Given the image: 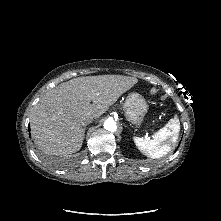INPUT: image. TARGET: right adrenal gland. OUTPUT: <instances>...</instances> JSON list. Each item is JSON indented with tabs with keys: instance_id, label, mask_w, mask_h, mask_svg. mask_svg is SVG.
<instances>
[{
	"instance_id": "2a0ac1e0",
	"label": "right adrenal gland",
	"mask_w": 221,
	"mask_h": 221,
	"mask_svg": "<svg viewBox=\"0 0 221 221\" xmlns=\"http://www.w3.org/2000/svg\"><path fill=\"white\" fill-rule=\"evenodd\" d=\"M85 130H86V128H84V129H83V131H84V134H85Z\"/></svg>"
}]
</instances>
